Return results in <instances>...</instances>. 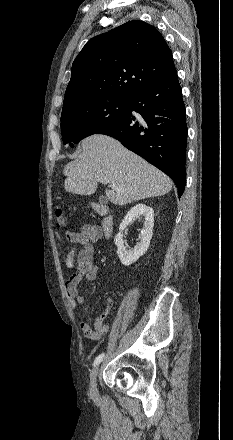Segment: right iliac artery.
<instances>
[{
  "instance_id": "82829eb1",
  "label": "right iliac artery",
  "mask_w": 233,
  "mask_h": 440,
  "mask_svg": "<svg viewBox=\"0 0 233 440\" xmlns=\"http://www.w3.org/2000/svg\"><path fill=\"white\" fill-rule=\"evenodd\" d=\"M103 357H104V353L97 356L94 360L93 366L99 365L101 363V361L103 360Z\"/></svg>"
}]
</instances>
